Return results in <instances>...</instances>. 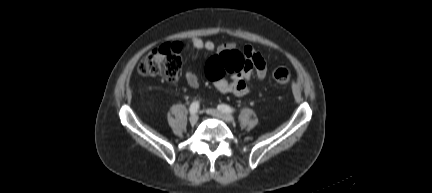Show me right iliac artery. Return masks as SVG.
Wrapping results in <instances>:
<instances>
[{"label": "right iliac artery", "mask_w": 432, "mask_h": 193, "mask_svg": "<svg viewBox=\"0 0 432 193\" xmlns=\"http://www.w3.org/2000/svg\"><path fill=\"white\" fill-rule=\"evenodd\" d=\"M199 109V102L198 101H194L191 103L189 111L191 114H195Z\"/></svg>", "instance_id": "right-iliac-artery-1"}]
</instances>
